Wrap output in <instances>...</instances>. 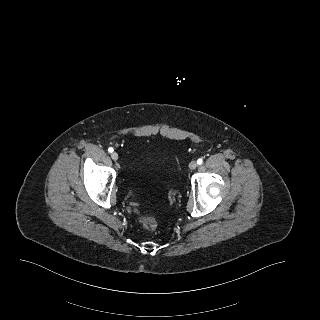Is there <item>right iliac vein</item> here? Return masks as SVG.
<instances>
[{
	"label": "right iliac vein",
	"instance_id": "1",
	"mask_svg": "<svg viewBox=\"0 0 320 320\" xmlns=\"http://www.w3.org/2000/svg\"><path fill=\"white\" fill-rule=\"evenodd\" d=\"M118 154L116 153V152H113L112 154H111V158L114 160V161H116V160H118Z\"/></svg>",
	"mask_w": 320,
	"mask_h": 320
}]
</instances>
